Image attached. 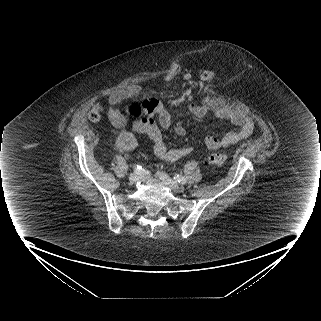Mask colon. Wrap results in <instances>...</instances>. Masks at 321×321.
Wrapping results in <instances>:
<instances>
[{"label":"colon","instance_id":"1","mask_svg":"<svg viewBox=\"0 0 321 321\" xmlns=\"http://www.w3.org/2000/svg\"><path fill=\"white\" fill-rule=\"evenodd\" d=\"M178 71V65L175 63H172L169 65L167 73H163L161 75V78L164 83L169 84L172 82L173 77L176 72ZM216 75L215 72H211L207 69H204L199 72L198 74V81L202 85H209L213 81V77ZM128 114L134 118V119H142L144 116V110L140 104H132L127 109ZM103 116V107L99 103H95L92 105L91 109L88 112V118L92 122H98L101 120ZM206 161L208 164L215 165V166H221L226 163L227 157L226 155L219 153V152H213L210 153Z\"/></svg>","mask_w":321,"mask_h":321}]
</instances>
